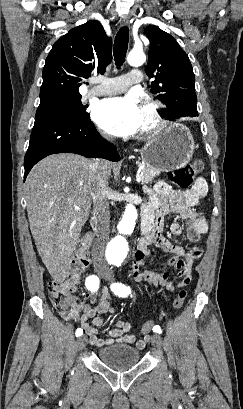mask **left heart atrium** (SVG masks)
Segmentation results:
<instances>
[{"instance_id": "39dd6f15", "label": "left heart atrium", "mask_w": 243, "mask_h": 409, "mask_svg": "<svg viewBox=\"0 0 243 409\" xmlns=\"http://www.w3.org/2000/svg\"><path fill=\"white\" fill-rule=\"evenodd\" d=\"M93 119L112 135L129 136L141 129L142 107L134 95L109 98L98 103Z\"/></svg>"}]
</instances>
